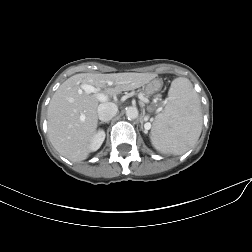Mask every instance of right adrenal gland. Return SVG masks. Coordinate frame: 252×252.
Listing matches in <instances>:
<instances>
[{
	"label": "right adrenal gland",
	"mask_w": 252,
	"mask_h": 252,
	"mask_svg": "<svg viewBox=\"0 0 252 252\" xmlns=\"http://www.w3.org/2000/svg\"><path fill=\"white\" fill-rule=\"evenodd\" d=\"M99 124L101 125V124H105L104 122H99Z\"/></svg>",
	"instance_id": "obj_1"
}]
</instances>
